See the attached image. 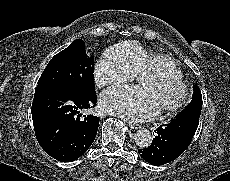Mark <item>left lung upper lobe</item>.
<instances>
[{
    "label": "left lung upper lobe",
    "mask_w": 230,
    "mask_h": 181,
    "mask_svg": "<svg viewBox=\"0 0 230 181\" xmlns=\"http://www.w3.org/2000/svg\"><path fill=\"white\" fill-rule=\"evenodd\" d=\"M193 90H194V94L192 96L191 103L180 114L193 113L200 116L201 109H202L201 91L197 85L193 86Z\"/></svg>",
    "instance_id": "1"
}]
</instances>
